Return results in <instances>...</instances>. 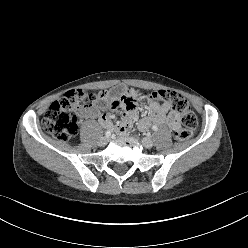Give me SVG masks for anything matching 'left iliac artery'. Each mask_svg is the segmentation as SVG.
I'll list each match as a JSON object with an SVG mask.
<instances>
[{"label": "left iliac artery", "instance_id": "1", "mask_svg": "<svg viewBox=\"0 0 248 248\" xmlns=\"http://www.w3.org/2000/svg\"><path fill=\"white\" fill-rule=\"evenodd\" d=\"M152 129H153L154 131H157V130H158V127H157L156 125H154V126L152 127Z\"/></svg>", "mask_w": 248, "mask_h": 248}]
</instances>
